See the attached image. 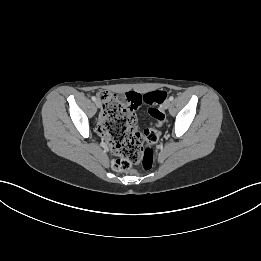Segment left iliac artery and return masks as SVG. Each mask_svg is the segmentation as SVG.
Wrapping results in <instances>:
<instances>
[{"instance_id": "44dca946", "label": "left iliac artery", "mask_w": 261, "mask_h": 261, "mask_svg": "<svg viewBox=\"0 0 261 261\" xmlns=\"http://www.w3.org/2000/svg\"><path fill=\"white\" fill-rule=\"evenodd\" d=\"M173 99H174L173 96H170V97H169V100H170V101H173Z\"/></svg>"}]
</instances>
